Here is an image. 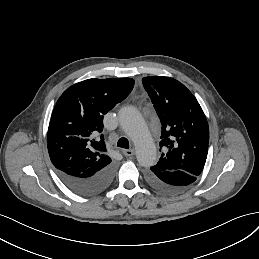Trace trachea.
<instances>
[{
	"mask_svg": "<svg viewBox=\"0 0 259 259\" xmlns=\"http://www.w3.org/2000/svg\"><path fill=\"white\" fill-rule=\"evenodd\" d=\"M117 146L120 147V148H126L128 149L129 148V142H128V139H126L125 137H122L118 140L117 142Z\"/></svg>",
	"mask_w": 259,
	"mask_h": 259,
	"instance_id": "3493384b",
	"label": "trachea"
}]
</instances>
